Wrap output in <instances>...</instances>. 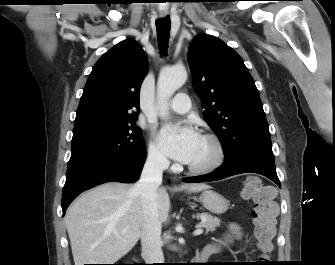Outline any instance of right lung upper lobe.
I'll list each match as a JSON object with an SVG mask.
<instances>
[{"label":"right lung upper lobe","instance_id":"cb5924a9","mask_svg":"<svg viewBox=\"0 0 335 265\" xmlns=\"http://www.w3.org/2000/svg\"><path fill=\"white\" fill-rule=\"evenodd\" d=\"M148 71L141 46L124 40L94 65L76 112L74 128L136 120L139 90Z\"/></svg>","mask_w":335,"mask_h":265}]
</instances>
